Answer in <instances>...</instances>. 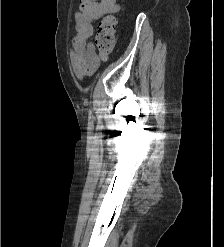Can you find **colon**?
<instances>
[{"mask_svg":"<svg viewBox=\"0 0 224 247\" xmlns=\"http://www.w3.org/2000/svg\"><path fill=\"white\" fill-rule=\"evenodd\" d=\"M116 22L113 15H107L98 24L95 43L98 55L102 59H105L113 51Z\"/></svg>","mask_w":224,"mask_h":247,"instance_id":"obj_1","label":"colon"}]
</instances>
